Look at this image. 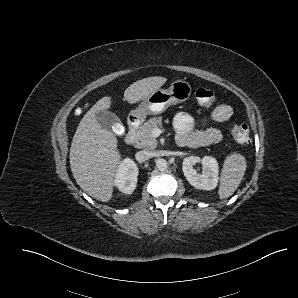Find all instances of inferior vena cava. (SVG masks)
<instances>
[{"instance_id":"602c4592","label":"inferior vena cava","mask_w":298,"mask_h":298,"mask_svg":"<svg viewBox=\"0 0 298 298\" xmlns=\"http://www.w3.org/2000/svg\"><path fill=\"white\" fill-rule=\"evenodd\" d=\"M153 157V152L149 151V150H142V151H138L135 154V158L138 162L142 163L146 160H149L150 158Z\"/></svg>"}]
</instances>
